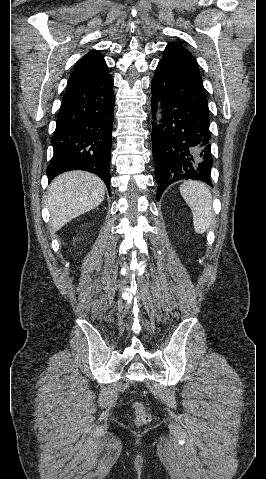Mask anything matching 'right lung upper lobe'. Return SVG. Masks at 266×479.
<instances>
[{
  "mask_svg": "<svg viewBox=\"0 0 266 479\" xmlns=\"http://www.w3.org/2000/svg\"><path fill=\"white\" fill-rule=\"evenodd\" d=\"M108 74V67L103 56L97 50H91L77 62L68 84L93 81Z\"/></svg>",
  "mask_w": 266,
  "mask_h": 479,
  "instance_id": "right-lung-upper-lobe-1",
  "label": "right lung upper lobe"
}]
</instances>
